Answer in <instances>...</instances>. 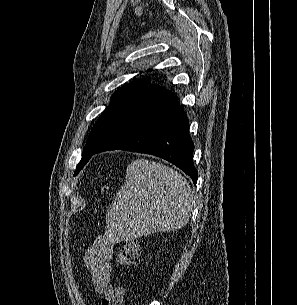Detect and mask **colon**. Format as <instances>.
<instances>
[{"label": "colon", "mask_w": 297, "mask_h": 305, "mask_svg": "<svg viewBox=\"0 0 297 305\" xmlns=\"http://www.w3.org/2000/svg\"><path fill=\"white\" fill-rule=\"evenodd\" d=\"M141 259V246L136 240L126 242L120 249L117 262L124 267L137 265ZM102 305H126L124 290L120 286H109L101 302Z\"/></svg>", "instance_id": "obj_1"}]
</instances>
